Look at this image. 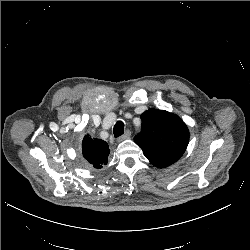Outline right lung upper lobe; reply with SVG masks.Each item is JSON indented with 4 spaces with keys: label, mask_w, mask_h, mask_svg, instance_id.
<instances>
[{
    "label": "right lung upper lobe",
    "mask_w": 250,
    "mask_h": 250,
    "mask_svg": "<svg viewBox=\"0 0 250 250\" xmlns=\"http://www.w3.org/2000/svg\"><path fill=\"white\" fill-rule=\"evenodd\" d=\"M82 155L89 166L96 169L102 168L108 162L110 153L108 144L101 140L85 135L82 141Z\"/></svg>",
    "instance_id": "cb5924a9"
}]
</instances>
